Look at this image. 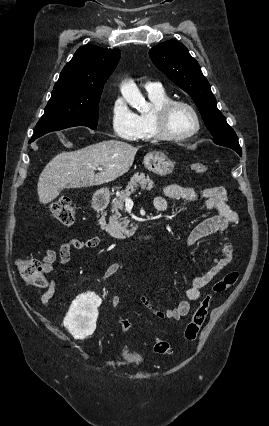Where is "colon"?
<instances>
[{
  "mask_svg": "<svg viewBox=\"0 0 269 426\" xmlns=\"http://www.w3.org/2000/svg\"><path fill=\"white\" fill-rule=\"evenodd\" d=\"M191 169L202 176L208 174V167L203 162H193ZM50 212L55 220L65 227L72 226L75 222L76 210L71 199L67 196H61L51 203ZM15 266L24 284L36 287H42L45 284L46 279L43 274L42 263L39 260L31 257L20 258L16 261ZM238 279L239 273L237 271H230L222 279L213 284L210 292L200 300L192 314L191 320L186 325L184 329L185 340L194 341L197 338L215 296L232 288ZM120 327L122 331L127 332L132 329V323L129 319H122ZM154 351L158 354L166 355L172 352V348L169 342L158 340L154 343Z\"/></svg>",
  "mask_w": 269,
  "mask_h": 426,
  "instance_id": "5ec220e1",
  "label": "colon"
}]
</instances>
